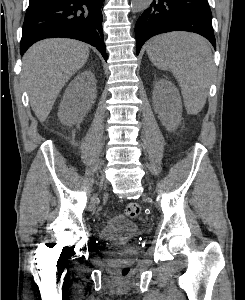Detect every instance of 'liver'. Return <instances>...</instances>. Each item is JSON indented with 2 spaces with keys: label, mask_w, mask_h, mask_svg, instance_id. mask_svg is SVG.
I'll return each instance as SVG.
<instances>
[{
  "label": "liver",
  "mask_w": 245,
  "mask_h": 300,
  "mask_svg": "<svg viewBox=\"0 0 245 300\" xmlns=\"http://www.w3.org/2000/svg\"><path fill=\"white\" fill-rule=\"evenodd\" d=\"M88 57L86 44L61 38L39 41L25 53L22 79L40 122L46 120L61 89Z\"/></svg>",
  "instance_id": "1"
}]
</instances>
